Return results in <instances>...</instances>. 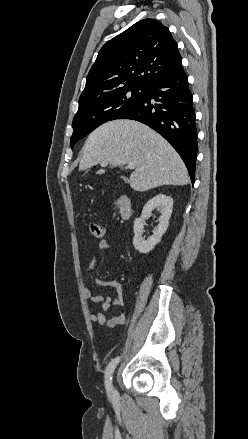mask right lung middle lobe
<instances>
[{
    "instance_id": "dd1d6c3e",
    "label": "right lung middle lobe",
    "mask_w": 248,
    "mask_h": 439,
    "mask_svg": "<svg viewBox=\"0 0 248 439\" xmlns=\"http://www.w3.org/2000/svg\"><path fill=\"white\" fill-rule=\"evenodd\" d=\"M145 91L143 87H124L79 105L73 119L71 147L101 124L118 119L142 98Z\"/></svg>"
}]
</instances>
